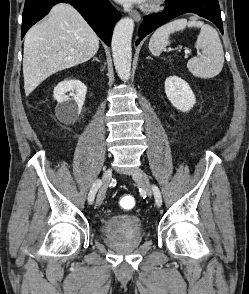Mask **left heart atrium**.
Masks as SVG:
<instances>
[{
  "mask_svg": "<svg viewBox=\"0 0 249 294\" xmlns=\"http://www.w3.org/2000/svg\"><path fill=\"white\" fill-rule=\"evenodd\" d=\"M117 1L123 4H133V3L140 4L145 2L146 0H117Z\"/></svg>",
  "mask_w": 249,
  "mask_h": 294,
  "instance_id": "1",
  "label": "left heart atrium"
}]
</instances>
